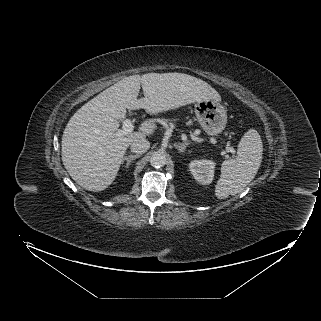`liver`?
I'll use <instances>...</instances> for the list:
<instances>
[{"label":"liver","mask_w":321,"mask_h":321,"mask_svg":"<svg viewBox=\"0 0 321 321\" xmlns=\"http://www.w3.org/2000/svg\"><path fill=\"white\" fill-rule=\"evenodd\" d=\"M142 86L144 98L138 99ZM220 101L205 81L184 73H147L125 77L84 104L70 118L62 136V161L69 175L86 190L99 192L112 184L127 148L153 133L142 123L139 131L120 135L126 109L148 114L173 110L202 100Z\"/></svg>","instance_id":"1"}]
</instances>
